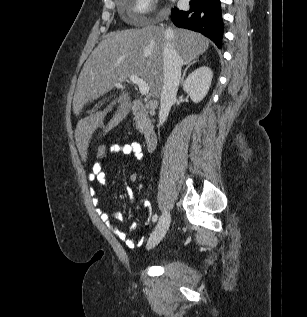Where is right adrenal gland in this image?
Here are the masks:
<instances>
[{
	"mask_svg": "<svg viewBox=\"0 0 307 317\" xmlns=\"http://www.w3.org/2000/svg\"><path fill=\"white\" fill-rule=\"evenodd\" d=\"M197 61H199V58H198V57H196V58H194L193 60L188 61V62L185 63V64H186V68H185L184 71H183V75H182V78H181V84L184 83V78H185L186 71L188 70V68H189L191 65H193L194 63H196Z\"/></svg>",
	"mask_w": 307,
	"mask_h": 317,
	"instance_id": "right-adrenal-gland-1",
	"label": "right adrenal gland"
}]
</instances>
